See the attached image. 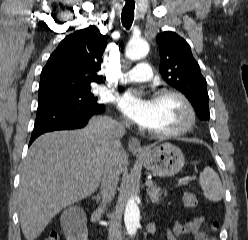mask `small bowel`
<instances>
[{
	"mask_svg": "<svg viewBox=\"0 0 248 240\" xmlns=\"http://www.w3.org/2000/svg\"><path fill=\"white\" fill-rule=\"evenodd\" d=\"M203 217H195L186 222H177L173 230H166L168 240H178L187 235H192L194 240H205V233L201 230Z\"/></svg>",
	"mask_w": 248,
	"mask_h": 240,
	"instance_id": "small-bowel-1",
	"label": "small bowel"
}]
</instances>
